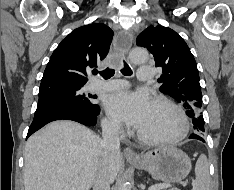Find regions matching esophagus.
Returning <instances> with one entry per match:
<instances>
[{"label":"esophagus","instance_id":"esophagus-1","mask_svg":"<svg viewBox=\"0 0 234 190\" xmlns=\"http://www.w3.org/2000/svg\"><path fill=\"white\" fill-rule=\"evenodd\" d=\"M119 50L123 55H126L132 46V35L129 31H121L117 36ZM124 156L127 159H139V156L133 149L127 147L124 149Z\"/></svg>","mask_w":234,"mask_h":190}]
</instances>
